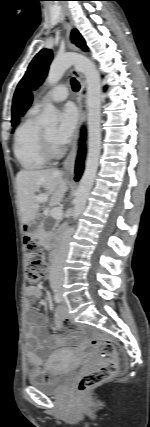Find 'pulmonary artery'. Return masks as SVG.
Masks as SVG:
<instances>
[{"instance_id":"1","label":"pulmonary artery","mask_w":150,"mask_h":427,"mask_svg":"<svg viewBox=\"0 0 150 427\" xmlns=\"http://www.w3.org/2000/svg\"><path fill=\"white\" fill-rule=\"evenodd\" d=\"M68 86L66 84H59L47 91L35 104V108L39 109L46 102H61L68 97Z\"/></svg>"}]
</instances>
